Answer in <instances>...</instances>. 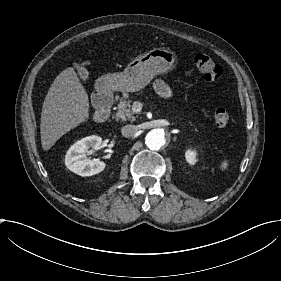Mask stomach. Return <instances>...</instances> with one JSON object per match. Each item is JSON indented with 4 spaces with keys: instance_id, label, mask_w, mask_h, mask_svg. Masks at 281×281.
<instances>
[{
    "instance_id": "stomach-1",
    "label": "stomach",
    "mask_w": 281,
    "mask_h": 281,
    "mask_svg": "<svg viewBox=\"0 0 281 281\" xmlns=\"http://www.w3.org/2000/svg\"><path fill=\"white\" fill-rule=\"evenodd\" d=\"M174 54L168 49L157 48L136 57L127 68L120 73L102 75L101 88L110 92H135L145 87L151 79L172 69Z\"/></svg>"
}]
</instances>
